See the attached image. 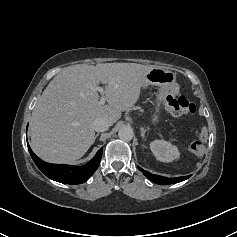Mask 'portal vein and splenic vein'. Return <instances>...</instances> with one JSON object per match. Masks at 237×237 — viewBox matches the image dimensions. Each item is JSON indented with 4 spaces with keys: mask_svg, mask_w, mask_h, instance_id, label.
<instances>
[{
    "mask_svg": "<svg viewBox=\"0 0 237 237\" xmlns=\"http://www.w3.org/2000/svg\"><path fill=\"white\" fill-rule=\"evenodd\" d=\"M96 90L99 91L102 95V97L100 98L98 104L103 105L106 101V98L104 96V89H103V87H97Z\"/></svg>",
    "mask_w": 237,
    "mask_h": 237,
    "instance_id": "obj_1",
    "label": "portal vein and splenic vein"
}]
</instances>
